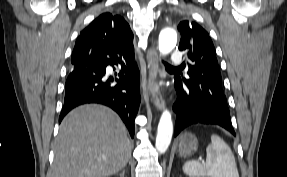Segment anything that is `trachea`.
<instances>
[{
	"instance_id": "trachea-1",
	"label": "trachea",
	"mask_w": 287,
	"mask_h": 177,
	"mask_svg": "<svg viewBox=\"0 0 287 177\" xmlns=\"http://www.w3.org/2000/svg\"><path fill=\"white\" fill-rule=\"evenodd\" d=\"M167 67H172V66H170L168 63H164Z\"/></svg>"
}]
</instances>
